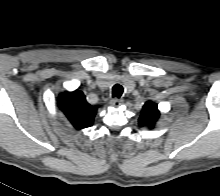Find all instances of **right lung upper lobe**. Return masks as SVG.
<instances>
[{"label":"right lung upper lobe","instance_id":"obj_1","mask_svg":"<svg viewBox=\"0 0 220 196\" xmlns=\"http://www.w3.org/2000/svg\"><path fill=\"white\" fill-rule=\"evenodd\" d=\"M57 104L68 121L77 130L90 127L98 106H91L85 98V95L75 90L73 92L61 93Z\"/></svg>","mask_w":220,"mask_h":196}]
</instances>
